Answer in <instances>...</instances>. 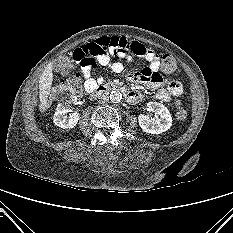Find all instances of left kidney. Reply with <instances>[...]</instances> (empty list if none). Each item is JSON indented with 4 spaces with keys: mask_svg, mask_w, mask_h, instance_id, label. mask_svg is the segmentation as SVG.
Listing matches in <instances>:
<instances>
[{
    "mask_svg": "<svg viewBox=\"0 0 233 233\" xmlns=\"http://www.w3.org/2000/svg\"><path fill=\"white\" fill-rule=\"evenodd\" d=\"M149 111L154 112L159 117L156 120L150 119L147 115L140 114L138 122L141 129L148 134H160L167 131L172 126V117L169 110L161 103H147Z\"/></svg>",
    "mask_w": 233,
    "mask_h": 233,
    "instance_id": "obj_1",
    "label": "left kidney"
}]
</instances>
